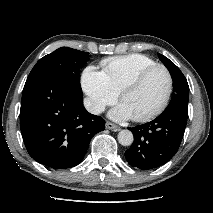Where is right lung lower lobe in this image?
I'll use <instances>...</instances> for the list:
<instances>
[{
    "label": "right lung lower lobe",
    "mask_w": 213,
    "mask_h": 213,
    "mask_svg": "<svg viewBox=\"0 0 213 213\" xmlns=\"http://www.w3.org/2000/svg\"><path fill=\"white\" fill-rule=\"evenodd\" d=\"M83 94L53 76L27 79L21 100L20 128L29 155L46 167L78 165L91 138L105 121L83 106Z\"/></svg>",
    "instance_id": "1"
}]
</instances>
